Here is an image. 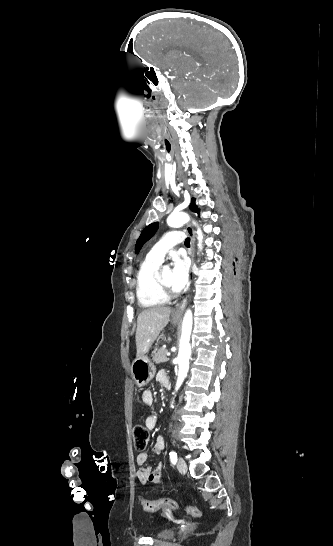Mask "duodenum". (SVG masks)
Here are the masks:
<instances>
[{
  "mask_svg": "<svg viewBox=\"0 0 333 546\" xmlns=\"http://www.w3.org/2000/svg\"><path fill=\"white\" fill-rule=\"evenodd\" d=\"M169 386H170V383H167V384L165 385V387H167V388H169Z\"/></svg>",
  "mask_w": 333,
  "mask_h": 546,
  "instance_id": "1",
  "label": "duodenum"
}]
</instances>
